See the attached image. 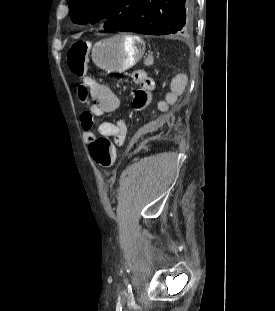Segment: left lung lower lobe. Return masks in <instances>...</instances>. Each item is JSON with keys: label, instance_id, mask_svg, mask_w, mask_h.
Returning <instances> with one entry per match:
<instances>
[{"label": "left lung lower lobe", "instance_id": "obj_1", "mask_svg": "<svg viewBox=\"0 0 275 311\" xmlns=\"http://www.w3.org/2000/svg\"><path fill=\"white\" fill-rule=\"evenodd\" d=\"M194 0H141L137 12L117 31L145 35L184 34L193 28Z\"/></svg>", "mask_w": 275, "mask_h": 311}]
</instances>
